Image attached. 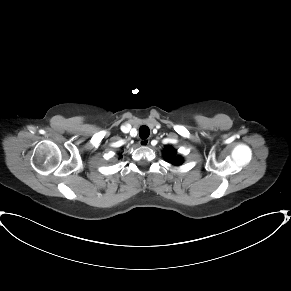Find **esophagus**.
<instances>
[{
    "mask_svg": "<svg viewBox=\"0 0 291 291\" xmlns=\"http://www.w3.org/2000/svg\"><path fill=\"white\" fill-rule=\"evenodd\" d=\"M149 143H150L149 139H142V140L139 141V144H140L141 146H143V147L148 146Z\"/></svg>",
    "mask_w": 291,
    "mask_h": 291,
    "instance_id": "1",
    "label": "esophagus"
}]
</instances>
